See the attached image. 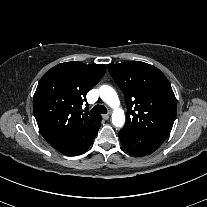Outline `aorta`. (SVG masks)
I'll return each mask as SVG.
<instances>
[{"label":"aorta","mask_w":207,"mask_h":207,"mask_svg":"<svg viewBox=\"0 0 207 207\" xmlns=\"http://www.w3.org/2000/svg\"><path fill=\"white\" fill-rule=\"evenodd\" d=\"M99 94H100V98L107 105L113 108V113H112L113 125L118 128L122 127L125 123V115H124V111L121 108H119L120 101L114 88H112L109 85H102L99 88Z\"/></svg>","instance_id":"762f6f07"}]
</instances>
